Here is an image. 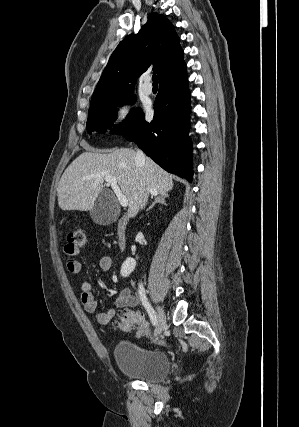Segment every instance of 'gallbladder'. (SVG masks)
I'll return each instance as SVG.
<instances>
[{
	"instance_id": "obj_1",
	"label": "gallbladder",
	"mask_w": 299,
	"mask_h": 427,
	"mask_svg": "<svg viewBox=\"0 0 299 427\" xmlns=\"http://www.w3.org/2000/svg\"><path fill=\"white\" fill-rule=\"evenodd\" d=\"M120 215L117 200L109 190H103L90 210L92 220L99 225H108L117 220Z\"/></svg>"
}]
</instances>
